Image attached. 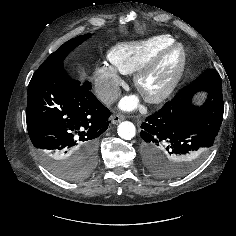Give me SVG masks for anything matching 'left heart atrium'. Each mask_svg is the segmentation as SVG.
Here are the masks:
<instances>
[{"mask_svg":"<svg viewBox=\"0 0 236 236\" xmlns=\"http://www.w3.org/2000/svg\"><path fill=\"white\" fill-rule=\"evenodd\" d=\"M136 105H137V100L134 97L124 98L120 103L121 108L125 110H132L133 108L136 107Z\"/></svg>","mask_w":236,"mask_h":236,"instance_id":"39dd6f15","label":"left heart atrium"}]
</instances>
